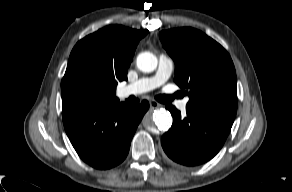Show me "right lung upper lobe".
Listing matches in <instances>:
<instances>
[{"mask_svg":"<svg viewBox=\"0 0 292 192\" xmlns=\"http://www.w3.org/2000/svg\"><path fill=\"white\" fill-rule=\"evenodd\" d=\"M147 33L148 30L110 25L86 36L73 48L62 83L77 71L87 73L104 87L96 107L118 103L115 96L117 82L127 79L137 44ZM63 107L69 106L63 104Z\"/></svg>","mask_w":292,"mask_h":192,"instance_id":"right-lung-upper-lobe-1","label":"right lung upper lobe"}]
</instances>
